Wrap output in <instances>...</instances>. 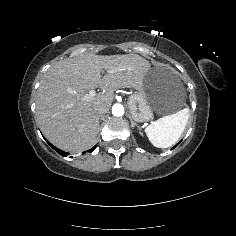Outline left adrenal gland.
Returning <instances> with one entry per match:
<instances>
[{
    "label": "left adrenal gland",
    "instance_id": "1",
    "mask_svg": "<svg viewBox=\"0 0 236 236\" xmlns=\"http://www.w3.org/2000/svg\"><path fill=\"white\" fill-rule=\"evenodd\" d=\"M131 127L133 128L135 125H137L136 122L133 121V119L130 117Z\"/></svg>",
    "mask_w": 236,
    "mask_h": 236
}]
</instances>
